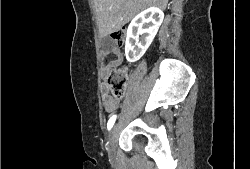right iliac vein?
<instances>
[{"mask_svg":"<svg viewBox=\"0 0 250 169\" xmlns=\"http://www.w3.org/2000/svg\"><path fill=\"white\" fill-rule=\"evenodd\" d=\"M116 136H117V126L113 127V129L109 135V139L107 142L109 151H111L113 146H114Z\"/></svg>","mask_w":250,"mask_h":169,"instance_id":"right-iliac-vein-1","label":"right iliac vein"}]
</instances>
